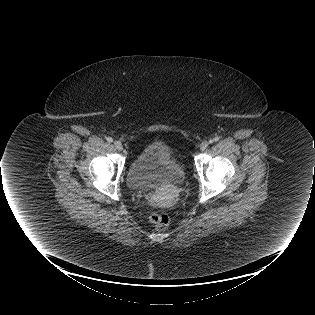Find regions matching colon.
<instances>
[{
  "instance_id": "obj_1",
  "label": "colon",
  "mask_w": 315,
  "mask_h": 315,
  "mask_svg": "<svg viewBox=\"0 0 315 315\" xmlns=\"http://www.w3.org/2000/svg\"><path fill=\"white\" fill-rule=\"evenodd\" d=\"M150 223L158 230H165L170 225V218L163 212H151L148 215Z\"/></svg>"
}]
</instances>
